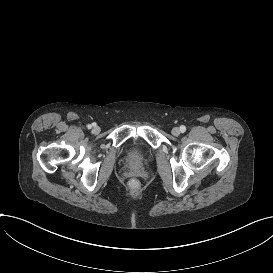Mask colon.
Here are the masks:
<instances>
[{
    "instance_id": "colon-1",
    "label": "colon",
    "mask_w": 273,
    "mask_h": 273,
    "mask_svg": "<svg viewBox=\"0 0 273 273\" xmlns=\"http://www.w3.org/2000/svg\"><path fill=\"white\" fill-rule=\"evenodd\" d=\"M139 186H140V183H139L138 179H136V178L131 179L130 188L132 190H137L139 188Z\"/></svg>"
}]
</instances>
